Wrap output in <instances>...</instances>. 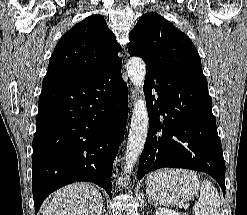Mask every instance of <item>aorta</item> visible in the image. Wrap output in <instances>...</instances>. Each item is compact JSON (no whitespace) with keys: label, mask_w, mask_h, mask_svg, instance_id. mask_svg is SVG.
<instances>
[{"label":"aorta","mask_w":247,"mask_h":215,"mask_svg":"<svg viewBox=\"0 0 247 215\" xmlns=\"http://www.w3.org/2000/svg\"><path fill=\"white\" fill-rule=\"evenodd\" d=\"M128 76L136 88L137 96L132 111L128 142L125 153L124 174L127 176L141 155L149 128V116L143 92L146 65L142 58L132 57L127 63Z\"/></svg>","instance_id":"aorta-1"}]
</instances>
